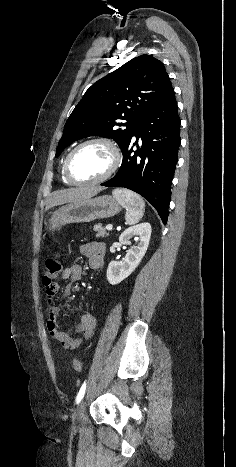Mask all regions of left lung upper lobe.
Wrapping results in <instances>:
<instances>
[{"instance_id": "obj_1", "label": "left lung upper lobe", "mask_w": 236, "mask_h": 467, "mask_svg": "<svg viewBox=\"0 0 236 467\" xmlns=\"http://www.w3.org/2000/svg\"><path fill=\"white\" fill-rule=\"evenodd\" d=\"M171 87L164 65L153 56L125 63L86 91L65 124L55 157L88 136L112 138L123 150L141 119Z\"/></svg>"}]
</instances>
